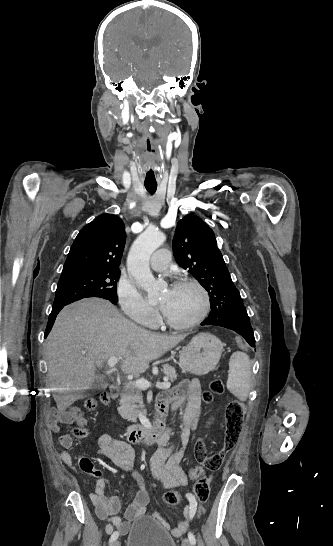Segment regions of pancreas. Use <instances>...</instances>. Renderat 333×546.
Masks as SVG:
<instances>
[{"instance_id": "cf45deb5", "label": "pancreas", "mask_w": 333, "mask_h": 546, "mask_svg": "<svg viewBox=\"0 0 333 546\" xmlns=\"http://www.w3.org/2000/svg\"><path fill=\"white\" fill-rule=\"evenodd\" d=\"M163 372L171 381L177 379L175 368L172 366L163 365ZM120 404L119 414L128 421L137 422L140 408L144 407L142 389L132 383L126 384L122 390Z\"/></svg>"}]
</instances>
